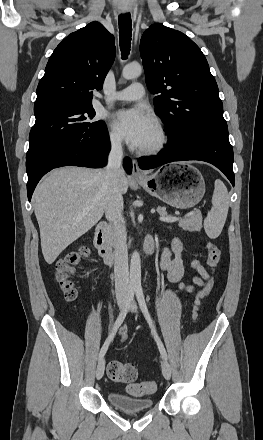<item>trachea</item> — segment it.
I'll return each mask as SVG.
<instances>
[{
	"label": "trachea",
	"mask_w": 263,
	"mask_h": 440,
	"mask_svg": "<svg viewBox=\"0 0 263 440\" xmlns=\"http://www.w3.org/2000/svg\"><path fill=\"white\" fill-rule=\"evenodd\" d=\"M119 42L122 58L126 59L131 47L132 22L130 14H122L118 17Z\"/></svg>",
	"instance_id": "1"
}]
</instances>
